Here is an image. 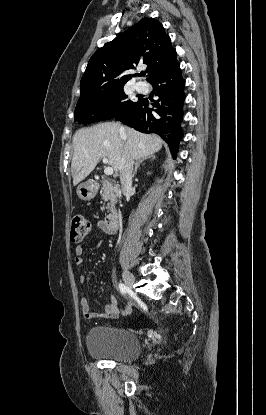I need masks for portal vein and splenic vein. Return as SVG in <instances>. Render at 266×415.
Wrapping results in <instances>:
<instances>
[{"label":"portal vein and splenic vein","instance_id":"1","mask_svg":"<svg viewBox=\"0 0 266 415\" xmlns=\"http://www.w3.org/2000/svg\"><path fill=\"white\" fill-rule=\"evenodd\" d=\"M103 163H108V159L107 158H103ZM113 172H114V170H113V168L112 167H106L105 169H104V173L106 174V175H112L113 174Z\"/></svg>","mask_w":266,"mask_h":415}]
</instances>
